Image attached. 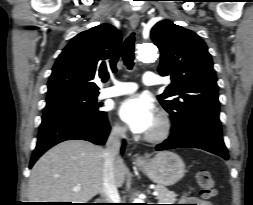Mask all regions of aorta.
<instances>
[{
  "label": "aorta",
  "mask_w": 253,
  "mask_h": 205,
  "mask_svg": "<svg viewBox=\"0 0 253 205\" xmlns=\"http://www.w3.org/2000/svg\"><path fill=\"white\" fill-rule=\"evenodd\" d=\"M158 50L152 43L142 44L137 51L138 58L144 62L155 61L158 57ZM134 203H144L142 199H136Z\"/></svg>",
  "instance_id": "1"
}]
</instances>
